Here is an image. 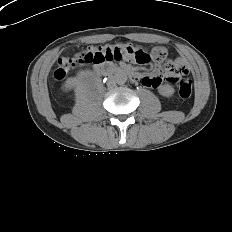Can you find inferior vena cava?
I'll list each match as a JSON object with an SVG mask.
<instances>
[{
	"mask_svg": "<svg viewBox=\"0 0 232 232\" xmlns=\"http://www.w3.org/2000/svg\"><path fill=\"white\" fill-rule=\"evenodd\" d=\"M115 85V82L113 81V80H109L108 81V86L109 87H112V86H114Z\"/></svg>",
	"mask_w": 232,
	"mask_h": 232,
	"instance_id": "602c4592",
	"label": "inferior vena cava"
}]
</instances>
